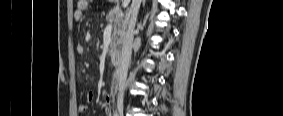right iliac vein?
Wrapping results in <instances>:
<instances>
[{
  "mask_svg": "<svg viewBox=\"0 0 283 116\" xmlns=\"http://www.w3.org/2000/svg\"><path fill=\"white\" fill-rule=\"evenodd\" d=\"M118 111H119V115L122 116V115H123V109H122V107H119V110H118Z\"/></svg>",
  "mask_w": 283,
  "mask_h": 116,
  "instance_id": "63e3f726",
  "label": "right iliac vein"
}]
</instances>
